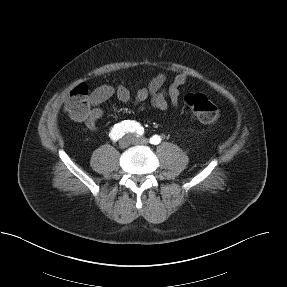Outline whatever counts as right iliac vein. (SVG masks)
<instances>
[{
    "label": "right iliac vein",
    "instance_id": "63e3f726",
    "mask_svg": "<svg viewBox=\"0 0 287 287\" xmlns=\"http://www.w3.org/2000/svg\"><path fill=\"white\" fill-rule=\"evenodd\" d=\"M131 141H132L131 136H126L120 140L119 145L121 148L124 149V148L129 147V145L131 144Z\"/></svg>",
    "mask_w": 287,
    "mask_h": 287
}]
</instances>
